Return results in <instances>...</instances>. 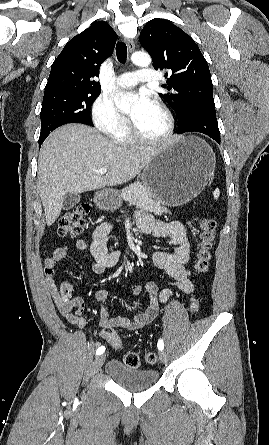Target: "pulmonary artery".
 <instances>
[{
    "mask_svg": "<svg viewBox=\"0 0 269 445\" xmlns=\"http://www.w3.org/2000/svg\"><path fill=\"white\" fill-rule=\"evenodd\" d=\"M156 71L149 68H141L136 72H126L117 77V84L121 87H132L139 82H154L158 80Z\"/></svg>",
    "mask_w": 269,
    "mask_h": 445,
    "instance_id": "1",
    "label": "pulmonary artery"
}]
</instances>
